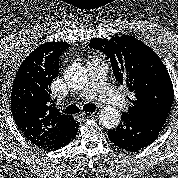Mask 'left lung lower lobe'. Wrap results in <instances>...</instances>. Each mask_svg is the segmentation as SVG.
Masks as SVG:
<instances>
[{"instance_id": "1", "label": "left lung lower lobe", "mask_w": 178, "mask_h": 178, "mask_svg": "<svg viewBox=\"0 0 178 178\" xmlns=\"http://www.w3.org/2000/svg\"><path fill=\"white\" fill-rule=\"evenodd\" d=\"M166 119L157 115L122 113L120 125L116 129H108V138L120 149L135 152L156 140Z\"/></svg>"}]
</instances>
